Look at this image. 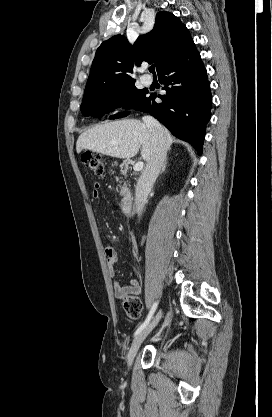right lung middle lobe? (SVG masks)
<instances>
[{"instance_id":"1","label":"right lung middle lobe","mask_w":272,"mask_h":417,"mask_svg":"<svg viewBox=\"0 0 272 417\" xmlns=\"http://www.w3.org/2000/svg\"><path fill=\"white\" fill-rule=\"evenodd\" d=\"M148 91L139 90L135 85L125 88L99 91L85 94L83 97L81 112L85 116L102 117L109 108L124 106L125 109L135 108L139 110L147 100ZM128 112L119 113L112 116V119L125 117Z\"/></svg>"}]
</instances>
